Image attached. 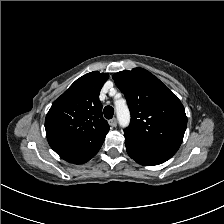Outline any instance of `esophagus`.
Returning a JSON list of instances; mask_svg holds the SVG:
<instances>
[{"label": "esophagus", "mask_w": 224, "mask_h": 224, "mask_svg": "<svg viewBox=\"0 0 224 224\" xmlns=\"http://www.w3.org/2000/svg\"><path fill=\"white\" fill-rule=\"evenodd\" d=\"M109 124L112 127H116L117 126V119L115 117H113L112 119L109 120Z\"/></svg>", "instance_id": "obj_1"}]
</instances>
